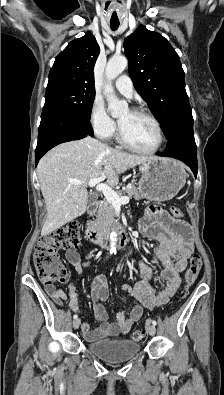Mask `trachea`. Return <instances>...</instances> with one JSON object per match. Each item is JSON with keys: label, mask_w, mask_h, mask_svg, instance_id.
I'll return each mask as SVG.
<instances>
[{"label": "trachea", "mask_w": 224, "mask_h": 395, "mask_svg": "<svg viewBox=\"0 0 224 395\" xmlns=\"http://www.w3.org/2000/svg\"><path fill=\"white\" fill-rule=\"evenodd\" d=\"M110 26H111V29L113 31H115L119 27V22H110Z\"/></svg>", "instance_id": "obj_1"}]
</instances>
